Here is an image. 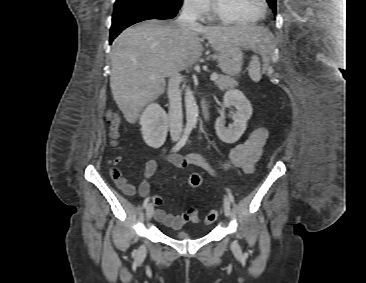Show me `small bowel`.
I'll return each instance as SVG.
<instances>
[{
    "mask_svg": "<svg viewBox=\"0 0 366 283\" xmlns=\"http://www.w3.org/2000/svg\"><path fill=\"white\" fill-rule=\"evenodd\" d=\"M268 132L263 127L254 129L248 138L231 148L225 158L220 162L219 166L223 170L231 168H240L246 173L253 171L255 164L260 159L263 147L265 145ZM165 159L171 164L179 168H184L187 165H194L205 169L211 173H214L212 165L208 160L197 152H191L186 156L182 155H167ZM122 161V158L117 156L111 161L109 169L110 176L115 185L127 196H133L136 191V187L133 183L128 181L121 173L117 165ZM157 170V161L148 160L144 167V180L138 186V192L141 196H147L150 193V184L147 179L151 178ZM148 198V197H147ZM152 201L155 205L162 203V197L155 195L152 197ZM154 217L157 221L163 223L167 227L172 229H180L186 218L183 215H172L167 213L163 209H156L154 211Z\"/></svg>",
    "mask_w": 366,
    "mask_h": 283,
    "instance_id": "obj_1",
    "label": "small bowel"
}]
</instances>
